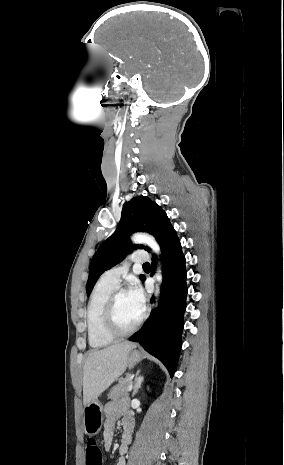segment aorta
<instances>
[{
  "label": "aorta",
  "mask_w": 284,
  "mask_h": 465,
  "mask_svg": "<svg viewBox=\"0 0 284 465\" xmlns=\"http://www.w3.org/2000/svg\"><path fill=\"white\" fill-rule=\"evenodd\" d=\"M132 240H133L134 243L147 244L157 255L160 254V247H159L158 243L156 242V240L152 236L147 235V234L138 233V234L133 235ZM156 279L158 280L159 284L162 282V275H161L160 269H158V271L156 273ZM159 290L160 289L158 287L157 294H159Z\"/></svg>",
  "instance_id": "762f6f07"
}]
</instances>
